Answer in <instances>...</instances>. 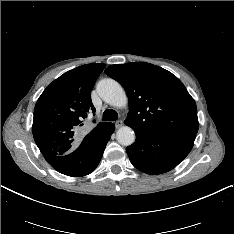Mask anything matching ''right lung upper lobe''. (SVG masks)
<instances>
[{"mask_svg": "<svg viewBox=\"0 0 234 234\" xmlns=\"http://www.w3.org/2000/svg\"><path fill=\"white\" fill-rule=\"evenodd\" d=\"M105 66H79L61 75L43 91L35 105L32 131L44 156L65 155L76 148L83 120L90 111L95 112L90 94Z\"/></svg>", "mask_w": 234, "mask_h": 234, "instance_id": "cb5924a9", "label": "right lung upper lobe"}]
</instances>
